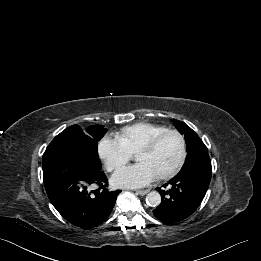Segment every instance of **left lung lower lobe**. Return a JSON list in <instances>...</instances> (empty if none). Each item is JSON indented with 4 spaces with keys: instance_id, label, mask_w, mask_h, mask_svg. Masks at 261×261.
<instances>
[{
    "instance_id": "obj_1",
    "label": "left lung lower lobe",
    "mask_w": 261,
    "mask_h": 261,
    "mask_svg": "<svg viewBox=\"0 0 261 261\" xmlns=\"http://www.w3.org/2000/svg\"><path fill=\"white\" fill-rule=\"evenodd\" d=\"M212 174L208 153L197 158L194 163L181 170L164 188H157L162 197L161 204L153 211L160 221L172 224L189 217L202 202Z\"/></svg>"
}]
</instances>
